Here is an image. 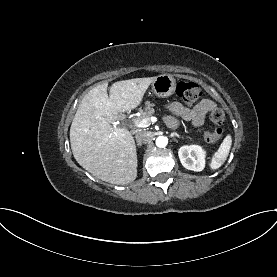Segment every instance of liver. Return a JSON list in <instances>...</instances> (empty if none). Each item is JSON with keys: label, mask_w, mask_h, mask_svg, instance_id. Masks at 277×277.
<instances>
[{"label": "liver", "mask_w": 277, "mask_h": 277, "mask_svg": "<svg viewBox=\"0 0 277 277\" xmlns=\"http://www.w3.org/2000/svg\"><path fill=\"white\" fill-rule=\"evenodd\" d=\"M156 77L118 81L110 87L103 83L90 90L82 99L70 128L74 158L85 170L103 181L125 185L137 177L135 141L125 128L109 123L118 113L139 106Z\"/></svg>", "instance_id": "obj_1"}]
</instances>
